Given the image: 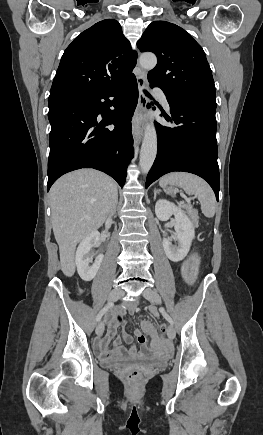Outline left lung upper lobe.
<instances>
[{
	"label": "left lung upper lobe",
	"instance_id": "1",
	"mask_svg": "<svg viewBox=\"0 0 263 435\" xmlns=\"http://www.w3.org/2000/svg\"><path fill=\"white\" fill-rule=\"evenodd\" d=\"M141 52L156 54V67L148 73L150 85L177 102L216 109L215 85L202 47L181 27L152 22L137 42Z\"/></svg>",
	"mask_w": 263,
	"mask_h": 435
}]
</instances>
